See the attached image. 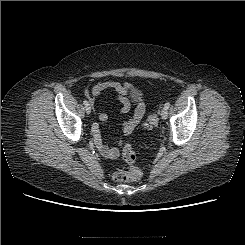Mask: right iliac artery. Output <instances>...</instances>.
<instances>
[{"instance_id": "obj_1", "label": "right iliac artery", "mask_w": 245, "mask_h": 245, "mask_svg": "<svg viewBox=\"0 0 245 245\" xmlns=\"http://www.w3.org/2000/svg\"><path fill=\"white\" fill-rule=\"evenodd\" d=\"M83 104L85 105V107L89 106V103H88L87 100H84V101H83Z\"/></svg>"}]
</instances>
